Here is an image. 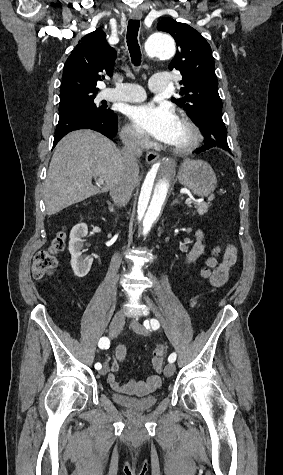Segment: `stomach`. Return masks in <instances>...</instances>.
Returning a JSON list of instances; mask_svg holds the SVG:
<instances>
[{
	"label": "stomach",
	"instance_id": "0dacf381",
	"mask_svg": "<svg viewBox=\"0 0 283 475\" xmlns=\"http://www.w3.org/2000/svg\"><path fill=\"white\" fill-rule=\"evenodd\" d=\"M177 178L185 188L192 190L196 196H209L217 186V178L210 164L203 160H184Z\"/></svg>",
	"mask_w": 283,
	"mask_h": 475
}]
</instances>
